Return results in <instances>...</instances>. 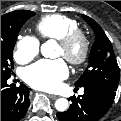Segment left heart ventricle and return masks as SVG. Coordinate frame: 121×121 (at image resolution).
I'll return each mask as SVG.
<instances>
[{
	"mask_svg": "<svg viewBox=\"0 0 121 121\" xmlns=\"http://www.w3.org/2000/svg\"><path fill=\"white\" fill-rule=\"evenodd\" d=\"M79 49H80V45L78 44V45H76V46L73 48L72 53H73V54L77 53V52L79 51ZM64 55H65V51H64V49L59 45V46H58V49H57V56H64Z\"/></svg>",
	"mask_w": 121,
	"mask_h": 121,
	"instance_id": "left-heart-ventricle-1",
	"label": "left heart ventricle"
}]
</instances>
